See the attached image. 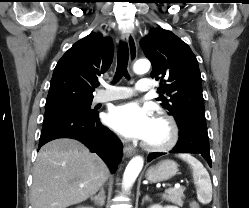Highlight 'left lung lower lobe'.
<instances>
[{"label": "left lung lower lobe", "mask_w": 249, "mask_h": 208, "mask_svg": "<svg viewBox=\"0 0 249 208\" xmlns=\"http://www.w3.org/2000/svg\"><path fill=\"white\" fill-rule=\"evenodd\" d=\"M179 127V140L171 153H198L201 154L212 166L209 138L207 133L206 119L196 115H188L177 122ZM165 153H151L148 161Z\"/></svg>", "instance_id": "1"}]
</instances>
